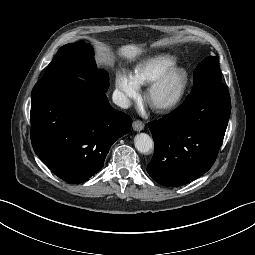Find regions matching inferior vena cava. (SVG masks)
Returning <instances> with one entry per match:
<instances>
[{
	"label": "inferior vena cava",
	"mask_w": 255,
	"mask_h": 255,
	"mask_svg": "<svg viewBox=\"0 0 255 255\" xmlns=\"http://www.w3.org/2000/svg\"><path fill=\"white\" fill-rule=\"evenodd\" d=\"M113 103L117 106L127 109L130 107V100L127 98V96L120 92L119 90H115L112 95Z\"/></svg>",
	"instance_id": "obj_1"
}]
</instances>
